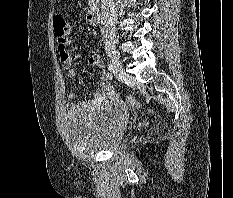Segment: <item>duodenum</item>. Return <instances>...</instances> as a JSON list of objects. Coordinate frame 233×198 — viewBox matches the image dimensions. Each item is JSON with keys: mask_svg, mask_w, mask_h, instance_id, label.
<instances>
[{"mask_svg": "<svg viewBox=\"0 0 233 198\" xmlns=\"http://www.w3.org/2000/svg\"><path fill=\"white\" fill-rule=\"evenodd\" d=\"M86 20L91 25H96L101 21V13L96 5L90 7L86 15Z\"/></svg>", "mask_w": 233, "mask_h": 198, "instance_id": "duodenum-1", "label": "duodenum"}]
</instances>
